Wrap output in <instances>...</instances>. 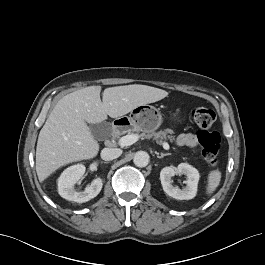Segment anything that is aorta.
<instances>
[{
  "label": "aorta",
  "mask_w": 265,
  "mask_h": 265,
  "mask_svg": "<svg viewBox=\"0 0 265 265\" xmlns=\"http://www.w3.org/2000/svg\"><path fill=\"white\" fill-rule=\"evenodd\" d=\"M149 154L145 151H138L134 155L133 162L137 167H146L149 163Z\"/></svg>",
  "instance_id": "aorta-1"
}]
</instances>
